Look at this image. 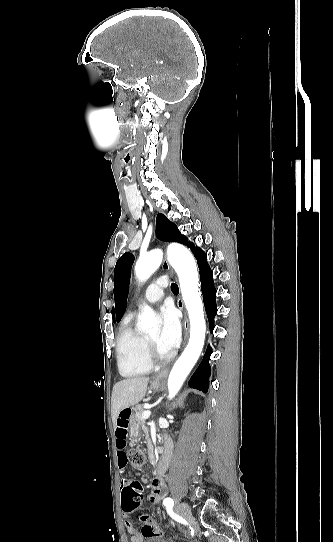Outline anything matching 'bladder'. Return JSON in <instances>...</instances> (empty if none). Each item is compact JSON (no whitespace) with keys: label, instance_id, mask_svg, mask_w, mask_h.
Returning <instances> with one entry per match:
<instances>
[{"label":"bladder","instance_id":"obj_1","mask_svg":"<svg viewBox=\"0 0 333 542\" xmlns=\"http://www.w3.org/2000/svg\"><path fill=\"white\" fill-rule=\"evenodd\" d=\"M143 542H172V541H169L167 539L148 538V539H144Z\"/></svg>","mask_w":333,"mask_h":542}]
</instances>
